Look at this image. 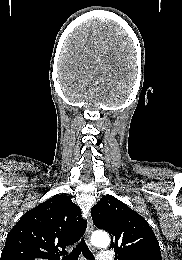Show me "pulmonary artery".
Segmentation results:
<instances>
[{"label": "pulmonary artery", "instance_id": "e3ab8cb5", "mask_svg": "<svg viewBox=\"0 0 182 260\" xmlns=\"http://www.w3.org/2000/svg\"><path fill=\"white\" fill-rule=\"evenodd\" d=\"M97 260H113V257L109 252H101L98 254Z\"/></svg>", "mask_w": 182, "mask_h": 260}]
</instances>
